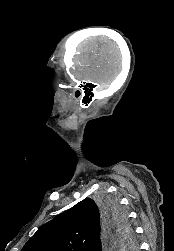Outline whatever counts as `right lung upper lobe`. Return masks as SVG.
I'll return each mask as SVG.
<instances>
[{
	"instance_id": "cb5924a9",
	"label": "right lung upper lobe",
	"mask_w": 174,
	"mask_h": 251,
	"mask_svg": "<svg viewBox=\"0 0 174 251\" xmlns=\"http://www.w3.org/2000/svg\"><path fill=\"white\" fill-rule=\"evenodd\" d=\"M104 216L90 198L77 203L42 225L21 251H102L115 250L121 242L111 240L102 248Z\"/></svg>"
}]
</instances>
